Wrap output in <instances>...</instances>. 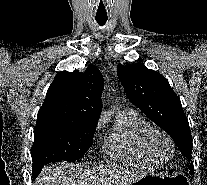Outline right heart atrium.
Masks as SVG:
<instances>
[{
    "label": "right heart atrium",
    "instance_id": "d8ad5b80",
    "mask_svg": "<svg viewBox=\"0 0 207 185\" xmlns=\"http://www.w3.org/2000/svg\"><path fill=\"white\" fill-rule=\"evenodd\" d=\"M108 119H109V115L107 113H103L98 120V126L105 125Z\"/></svg>",
    "mask_w": 207,
    "mask_h": 185
}]
</instances>
